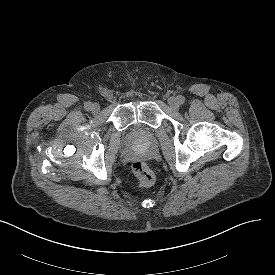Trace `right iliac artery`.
Segmentation results:
<instances>
[{"label":"right iliac artery","instance_id":"1","mask_svg":"<svg viewBox=\"0 0 275 275\" xmlns=\"http://www.w3.org/2000/svg\"><path fill=\"white\" fill-rule=\"evenodd\" d=\"M91 105H92L91 102H86L85 105H84L85 110L90 111L91 110Z\"/></svg>","mask_w":275,"mask_h":275}]
</instances>
